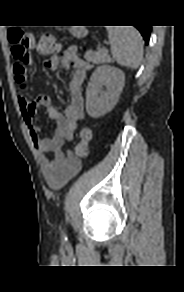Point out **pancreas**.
Segmentation results:
<instances>
[{"instance_id": "1", "label": "pancreas", "mask_w": 184, "mask_h": 292, "mask_svg": "<svg viewBox=\"0 0 184 292\" xmlns=\"http://www.w3.org/2000/svg\"><path fill=\"white\" fill-rule=\"evenodd\" d=\"M84 58L86 59V61L92 62L94 64L111 62V58L108 52L105 50L98 51L89 50L85 53Z\"/></svg>"}]
</instances>
